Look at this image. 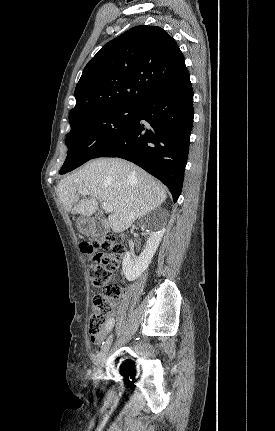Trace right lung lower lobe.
I'll return each instance as SVG.
<instances>
[{"label":"right lung lower lobe","instance_id":"right-lung-lower-lobe-1","mask_svg":"<svg viewBox=\"0 0 275 431\" xmlns=\"http://www.w3.org/2000/svg\"><path fill=\"white\" fill-rule=\"evenodd\" d=\"M133 123L93 158L131 161L162 181L177 201L183 185L193 125V89L188 70L137 106Z\"/></svg>","mask_w":275,"mask_h":431}]
</instances>
